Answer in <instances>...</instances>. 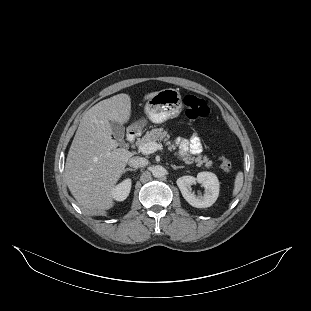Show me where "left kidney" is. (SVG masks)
<instances>
[{
	"label": "left kidney",
	"mask_w": 311,
	"mask_h": 311,
	"mask_svg": "<svg viewBox=\"0 0 311 311\" xmlns=\"http://www.w3.org/2000/svg\"><path fill=\"white\" fill-rule=\"evenodd\" d=\"M177 186L183 198L195 208H207L214 204L219 194V182L217 177L210 172H201L196 177L184 175L177 179ZM201 184L203 194L194 195L191 185Z\"/></svg>",
	"instance_id": "1"
}]
</instances>
